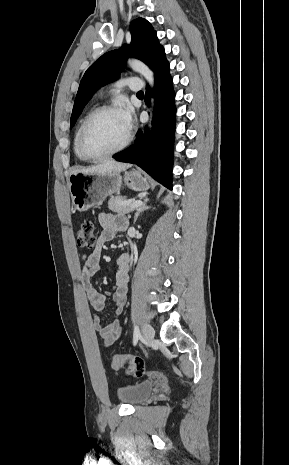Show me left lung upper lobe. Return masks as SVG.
Here are the masks:
<instances>
[{"mask_svg":"<svg viewBox=\"0 0 289 465\" xmlns=\"http://www.w3.org/2000/svg\"><path fill=\"white\" fill-rule=\"evenodd\" d=\"M130 32V45L105 53L85 72L74 102L70 128L73 127L92 95L100 87L119 77L128 56L136 57L149 65L156 79L169 72L164 48L159 44L151 24L144 18L134 19L130 24Z\"/></svg>","mask_w":289,"mask_h":465,"instance_id":"obj_1","label":"left lung upper lobe"}]
</instances>
